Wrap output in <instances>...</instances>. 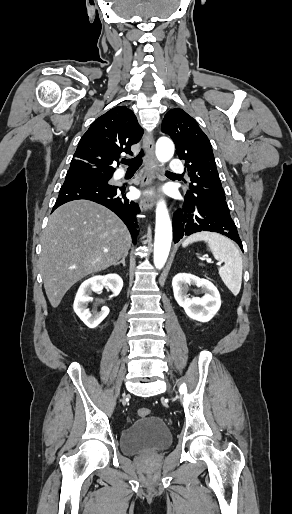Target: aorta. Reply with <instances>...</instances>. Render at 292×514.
I'll return each instance as SVG.
<instances>
[{
    "instance_id": "aorta-1",
    "label": "aorta",
    "mask_w": 292,
    "mask_h": 514,
    "mask_svg": "<svg viewBox=\"0 0 292 514\" xmlns=\"http://www.w3.org/2000/svg\"><path fill=\"white\" fill-rule=\"evenodd\" d=\"M174 144L169 138H159L156 144V158L159 162H169L173 158ZM172 242V224L165 202L160 200L156 208V226L154 242V264L158 270L163 268L170 252Z\"/></svg>"
}]
</instances>
